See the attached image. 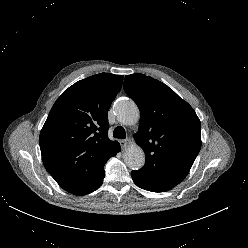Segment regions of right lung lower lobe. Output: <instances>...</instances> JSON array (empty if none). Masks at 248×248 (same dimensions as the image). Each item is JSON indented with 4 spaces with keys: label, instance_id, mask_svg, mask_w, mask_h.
Segmentation results:
<instances>
[{
    "label": "right lung lower lobe",
    "instance_id": "98d812e1",
    "mask_svg": "<svg viewBox=\"0 0 248 248\" xmlns=\"http://www.w3.org/2000/svg\"><path fill=\"white\" fill-rule=\"evenodd\" d=\"M119 151H121V148L119 149ZM101 184H102V183H101ZM101 184H100V185H101ZM100 185H99V186H100ZM99 186H98V187H99ZM98 187H97L96 189H98ZM96 189H95V190H96Z\"/></svg>",
    "mask_w": 248,
    "mask_h": 248
}]
</instances>
